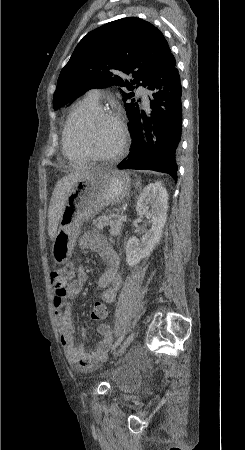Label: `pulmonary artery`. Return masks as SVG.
Instances as JSON below:
<instances>
[{
  "label": "pulmonary artery",
  "instance_id": "e3ab8cb5",
  "mask_svg": "<svg viewBox=\"0 0 245 450\" xmlns=\"http://www.w3.org/2000/svg\"><path fill=\"white\" fill-rule=\"evenodd\" d=\"M102 95V91L100 89H92L87 93V96L95 102H99L100 97ZM140 95L143 97V101L146 105H148V96L146 92H140Z\"/></svg>",
  "mask_w": 245,
  "mask_h": 450
}]
</instances>
